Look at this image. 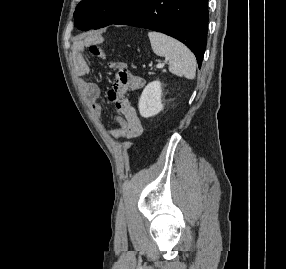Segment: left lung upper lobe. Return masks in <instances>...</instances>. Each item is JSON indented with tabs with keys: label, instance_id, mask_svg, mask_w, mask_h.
Masks as SVG:
<instances>
[{
	"label": "left lung upper lobe",
	"instance_id": "1",
	"mask_svg": "<svg viewBox=\"0 0 286 269\" xmlns=\"http://www.w3.org/2000/svg\"><path fill=\"white\" fill-rule=\"evenodd\" d=\"M143 0H82L74 12L75 25L81 30L113 24L134 10Z\"/></svg>",
	"mask_w": 286,
	"mask_h": 269
}]
</instances>
